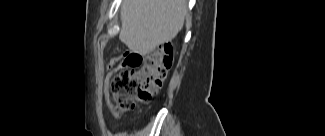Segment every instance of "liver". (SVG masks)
Returning a JSON list of instances; mask_svg holds the SVG:
<instances>
[{"label": "liver", "instance_id": "1", "mask_svg": "<svg viewBox=\"0 0 325 136\" xmlns=\"http://www.w3.org/2000/svg\"><path fill=\"white\" fill-rule=\"evenodd\" d=\"M186 13L187 0H124L119 39L145 56L176 37Z\"/></svg>", "mask_w": 325, "mask_h": 136}]
</instances>
